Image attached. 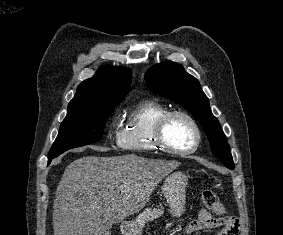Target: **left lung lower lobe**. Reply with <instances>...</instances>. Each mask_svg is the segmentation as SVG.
<instances>
[{"label": "left lung lower lobe", "instance_id": "1", "mask_svg": "<svg viewBox=\"0 0 283 235\" xmlns=\"http://www.w3.org/2000/svg\"><path fill=\"white\" fill-rule=\"evenodd\" d=\"M220 161L224 164L225 167H227L228 169H233L234 168V162L232 161H226V160H222L220 159Z\"/></svg>", "mask_w": 283, "mask_h": 235}]
</instances>
